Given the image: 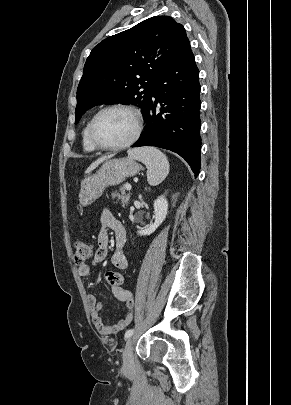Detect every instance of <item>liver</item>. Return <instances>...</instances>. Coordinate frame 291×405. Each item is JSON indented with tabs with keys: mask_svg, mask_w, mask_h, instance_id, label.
Wrapping results in <instances>:
<instances>
[{
	"mask_svg": "<svg viewBox=\"0 0 291 405\" xmlns=\"http://www.w3.org/2000/svg\"><path fill=\"white\" fill-rule=\"evenodd\" d=\"M109 157L104 156L99 158L98 160H96L95 162H93L88 169L86 170V173H89L91 171H93L100 163L104 162L105 160H107Z\"/></svg>",
	"mask_w": 291,
	"mask_h": 405,
	"instance_id": "liver-1",
	"label": "liver"
}]
</instances>
